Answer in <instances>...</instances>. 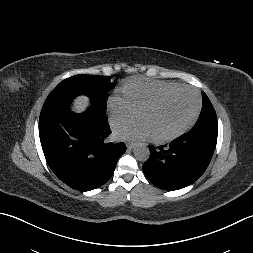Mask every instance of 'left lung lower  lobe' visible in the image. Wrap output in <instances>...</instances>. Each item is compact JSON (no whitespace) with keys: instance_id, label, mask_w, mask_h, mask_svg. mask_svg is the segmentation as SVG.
<instances>
[{"instance_id":"left-lung-lower-lobe-1","label":"left lung lower lobe","mask_w":253,"mask_h":253,"mask_svg":"<svg viewBox=\"0 0 253 253\" xmlns=\"http://www.w3.org/2000/svg\"><path fill=\"white\" fill-rule=\"evenodd\" d=\"M218 132L192 129L169 145H149L150 157L143 165L148 180L160 189L178 190L195 182L214 153Z\"/></svg>"}]
</instances>
